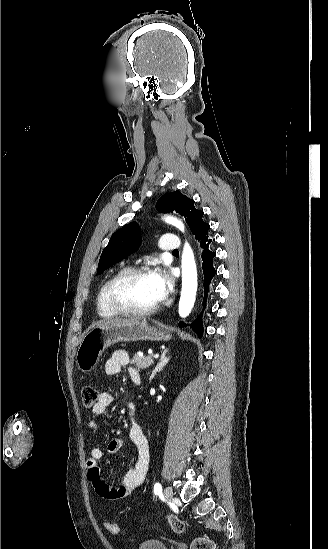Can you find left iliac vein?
<instances>
[{
  "mask_svg": "<svg viewBox=\"0 0 328 549\" xmlns=\"http://www.w3.org/2000/svg\"><path fill=\"white\" fill-rule=\"evenodd\" d=\"M164 496L166 501L171 502L173 500V493L169 487H166L164 490Z\"/></svg>",
  "mask_w": 328,
  "mask_h": 549,
  "instance_id": "4c4485c4",
  "label": "left iliac vein"
}]
</instances>
